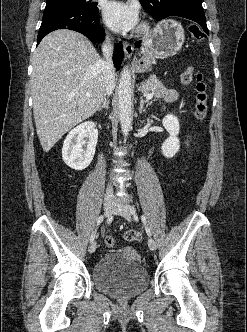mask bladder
Instances as JSON below:
<instances>
[{"label":"bladder","mask_w":247,"mask_h":332,"mask_svg":"<svg viewBox=\"0 0 247 332\" xmlns=\"http://www.w3.org/2000/svg\"><path fill=\"white\" fill-rule=\"evenodd\" d=\"M92 281L104 294L128 299L142 293L149 285L147 270L138 263L131 248L112 250L93 266Z\"/></svg>","instance_id":"31cf9c89"}]
</instances>
